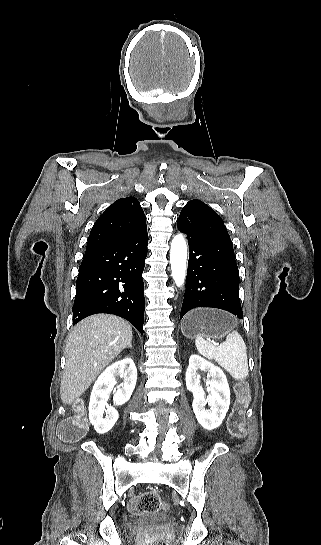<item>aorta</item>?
Wrapping results in <instances>:
<instances>
[{
  "instance_id": "obj_1",
  "label": "aorta",
  "mask_w": 321,
  "mask_h": 545,
  "mask_svg": "<svg viewBox=\"0 0 321 545\" xmlns=\"http://www.w3.org/2000/svg\"><path fill=\"white\" fill-rule=\"evenodd\" d=\"M170 264L173 280L180 287L185 281L187 265V244L182 234L175 235L171 242Z\"/></svg>"
}]
</instances>
